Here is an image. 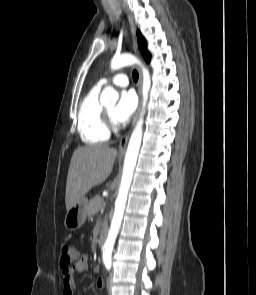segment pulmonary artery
<instances>
[{
  "label": "pulmonary artery",
  "mask_w": 256,
  "mask_h": 295,
  "mask_svg": "<svg viewBox=\"0 0 256 295\" xmlns=\"http://www.w3.org/2000/svg\"><path fill=\"white\" fill-rule=\"evenodd\" d=\"M108 83H112L118 87H126L129 84L128 76L124 73H117L109 79H102L99 81V86H104Z\"/></svg>",
  "instance_id": "1"
}]
</instances>
